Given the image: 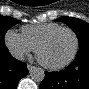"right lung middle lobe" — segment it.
<instances>
[{
  "label": "right lung middle lobe",
  "mask_w": 89,
  "mask_h": 89,
  "mask_svg": "<svg viewBox=\"0 0 89 89\" xmlns=\"http://www.w3.org/2000/svg\"><path fill=\"white\" fill-rule=\"evenodd\" d=\"M18 23L20 21L15 18L0 15V48L5 46L4 36L7 30Z\"/></svg>",
  "instance_id": "dd1d6c3e"
}]
</instances>
